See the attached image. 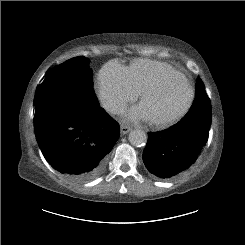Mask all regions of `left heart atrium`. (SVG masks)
<instances>
[{"label": "left heart atrium", "instance_id": "obj_1", "mask_svg": "<svg viewBox=\"0 0 245 245\" xmlns=\"http://www.w3.org/2000/svg\"><path fill=\"white\" fill-rule=\"evenodd\" d=\"M126 117L128 120L133 121V122H137L140 120H148V118H147V116H146L141 105L133 107L132 109H130L127 112Z\"/></svg>", "mask_w": 245, "mask_h": 245}]
</instances>
